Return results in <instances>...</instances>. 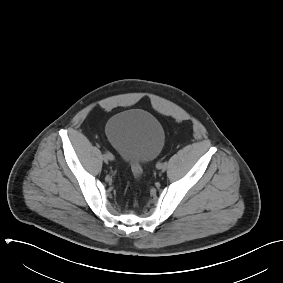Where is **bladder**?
<instances>
[{"label": "bladder", "instance_id": "obj_1", "mask_svg": "<svg viewBox=\"0 0 283 283\" xmlns=\"http://www.w3.org/2000/svg\"><path fill=\"white\" fill-rule=\"evenodd\" d=\"M105 132L122 159L132 163L152 161L161 152L165 142L160 121L141 109L115 114L108 120Z\"/></svg>", "mask_w": 283, "mask_h": 283}]
</instances>
